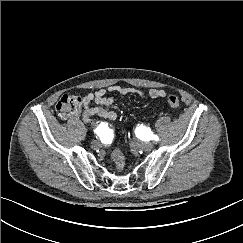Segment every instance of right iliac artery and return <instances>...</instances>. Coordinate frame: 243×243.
I'll use <instances>...</instances> for the list:
<instances>
[{
  "instance_id": "82829eb1",
  "label": "right iliac artery",
  "mask_w": 243,
  "mask_h": 243,
  "mask_svg": "<svg viewBox=\"0 0 243 243\" xmlns=\"http://www.w3.org/2000/svg\"><path fill=\"white\" fill-rule=\"evenodd\" d=\"M104 128H106V126H100V127H98V128L96 129V133H97L98 135L103 136Z\"/></svg>"
}]
</instances>
